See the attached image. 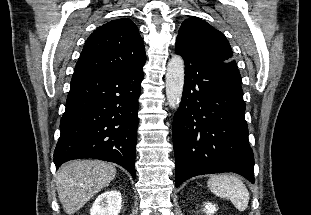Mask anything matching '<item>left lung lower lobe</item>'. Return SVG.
<instances>
[{
    "label": "left lung lower lobe",
    "mask_w": 311,
    "mask_h": 215,
    "mask_svg": "<svg viewBox=\"0 0 311 215\" xmlns=\"http://www.w3.org/2000/svg\"><path fill=\"white\" fill-rule=\"evenodd\" d=\"M185 83L173 120L176 187L202 174L234 172L255 182L241 83L176 43Z\"/></svg>",
    "instance_id": "obj_1"
}]
</instances>
